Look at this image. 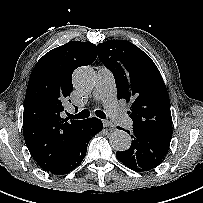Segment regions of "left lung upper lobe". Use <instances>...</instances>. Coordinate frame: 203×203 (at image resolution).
<instances>
[{"label": "left lung upper lobe", "mask_w": 203, "mask_h": 203, "mask_svg": "<svg viewBox=\"0 0 203 203\" xmlns=\"http://www.w3.org/2000/svg\"><path fill=\"white\" fill-rule=\"evenodd\" d=\"M98 57L114 75L118 99L131 103L128 114L133 120V128L171 139L169 95L152 59L125 40L98 44Z\"/></svg>", "instance_id": "obj_1"}]
</instances>
